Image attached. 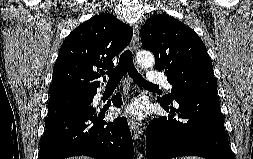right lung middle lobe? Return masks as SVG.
<instances>
[{"instance_id": "obj_1", "label": "right lung middle lobe", "mask_w": 253, "mask_h": 159, "mask_svg": "<svg viewBox=\"0 0 253 159\" xmlns=\"http://www.w3.org/2000/svg\"><path fill=\"white\" fill-rule=\"evenodd\" d=\"M94 94L95 93L71 96L49 101L48 118L45 122V125L53 122L71 110L81 106L90 105L93 101Z\"/></svg>"}]
</instances>
